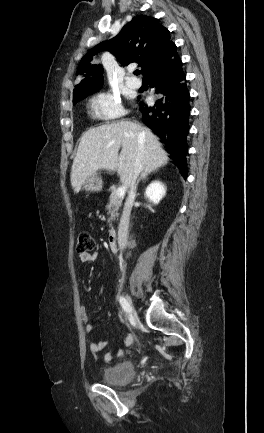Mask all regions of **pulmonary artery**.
Returning <instances> with one entry per match:
<instances>
[{
    "mask_svg": "<svg viewBox=\"0 0 264 433\" xmlns=\"http://www.w3.org/2000/svg\"><path fill=\"white\" fill-rule=\"evenodd\" d=\"M126 84H127L130 88H133V89H138V88H140V86H141V82H140V80H138V79L135 78V77H129V78L126 80Z\"/></svg>",
    "mask_w": 264,
    "mask_h": 433,
    "instance_id": "pulmonary-artery-1",
    "label": "pulmonary artery"
}]
</instances>
